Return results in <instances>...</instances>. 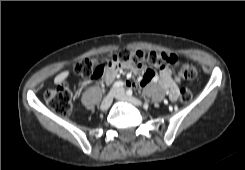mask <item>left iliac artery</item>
<instances>
[{
  "label": "left iliac artery",
  "mask_w": 245,
  "mask_h": 170,
  "mask_svg": "<svg viewBox=\"0 0 245 170\" xmlns=\"http://www.w3.org/2000/svg\"><path fill=\"white\" fill-rule=\"evenodd\" d=\"M126 93H127L128 96H132L133 91H132L131 88H129V89L126 91Z\"/></svg>",
  "instance_id": "left-iliac-artery-1"
}]
</instances>
